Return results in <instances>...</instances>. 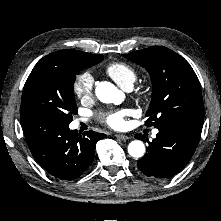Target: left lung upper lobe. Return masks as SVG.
Listing matches in <instances>:
<instances>
[{
  "label": "left lung upper lobe",
  "mask_w": 221,
  "mask_h": 221,
  "mask_svg": "<svg viewBox=\"0 0 221 221\" xmlns=\"http://www.w3.org/2000/svg\"><path fill=\"white\" fill-rule=\"evenodd\" d=\"M151 76L152 100L146 125L159 128L173 121L204 120L199 80L190 64L166 47H149L124 55Z\"/></svg>",
  "instance_id": "left-lung-upper-lobe-1"
}]
</instances>
